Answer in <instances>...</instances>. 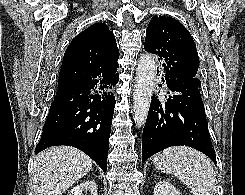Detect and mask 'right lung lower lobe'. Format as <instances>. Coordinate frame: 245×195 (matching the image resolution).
<instances>
[{
	"label": "right lung lower lobe",
	"mask_w": 245,
	"mask_h": 195,
	"mask_svg": "<svg viewBox=\"0 0 245 195\" xmlns=\"http://www.w3.org/2000/svg\"><path fill=\"white\" fill-rule=\"evenodd\" d=\"M118 79V73L98 70L90 80L58 86L35 154L50 146H73L106 172L115 107L112 88Z\"/></svg>",
	"instance_id": "right-lung-lower-lobe-1"
}]
</instances>
